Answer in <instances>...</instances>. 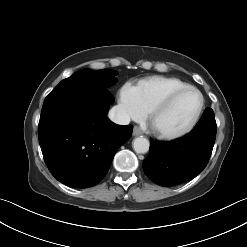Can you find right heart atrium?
<instances>
[{
	"label": "right heart atrium",
	"mask_w": 247,
	"mask_h": 247,
	"mask_svg": "<svg viewBox=\"0 0 247 247\" xmlns=\"http://www.w3.org/2000/svg\"><path fill=\"white\" fill-rule=\"evenodd\" d=\"M120 109L125 116L131 119H140L146 111L142 107L135 87L125 85L119 96Z\"/></svg>",
	"instance_id": "obj_1"
}]
</instances>
